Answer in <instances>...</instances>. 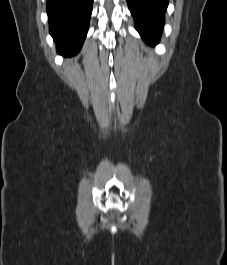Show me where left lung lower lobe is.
Wrapping results in <instances>:
<instances>
[{"label":"left lung lower lobe","mask_w":227,"mask_h":265,"mask_svg":"<svg viewBox=\"0 0 227 265\" xmlns=\"http://www.w3.org/2000/svg\"><path fill=\"white\" fill-rule=\"evenodd\" d=\"M135 29L150 45L159 42L169 0H127Z\"/></svg>","instance_id":"1"}]
</instances>
